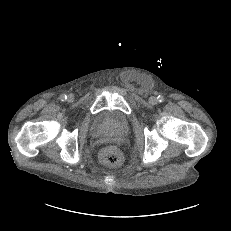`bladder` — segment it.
Returning <instances> with one entry per match:
<instances>
[{"label": "bladder", "instance_id": "obj_1", "mask_svg": "<svg viewBox=\"0 0 231 231\" xmlns=\"http://www.w3.org/2000/svg\"><path fill=\"white\" fill-rule=\"evenodd\" d=\"M129 128L128 117L117 110H105L93 120L91 130L94 133L110 131L117 135H124Z\"/></svg>", "mask_w": 231, "mask_h": 231}]
</instances>
